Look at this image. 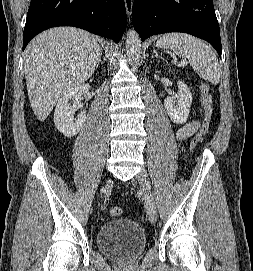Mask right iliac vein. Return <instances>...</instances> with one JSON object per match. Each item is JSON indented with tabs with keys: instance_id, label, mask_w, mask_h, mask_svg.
<instances>
[{
	"instance_id": "obj_1",
	"label": "right iliac vein",
	"mask_w": 253,
	"mask_h": 271,
	"mask_svg": "<svg viewBox=\"0 0 253 271\" xmlns=\"http://www.w3.org/2000/svg\"><path fill=\"white\" fill-rule=\"evenodd\" d=\"M111 186V181L108 180L105 184V189H108Z\"/></svg>"
}]
</instances>
